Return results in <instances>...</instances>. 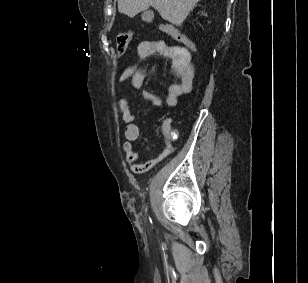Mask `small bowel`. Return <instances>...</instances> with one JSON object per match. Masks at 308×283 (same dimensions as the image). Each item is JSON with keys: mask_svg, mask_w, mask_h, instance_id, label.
<instances>
[{"mask_svg": "<svg viewBox=\"0 0 308 283\" xmlns=\"http://www.w3.org/2000/svg\"><path fill=\"white\" fill-rule=\"evenodd\" d=\"M137 54L139 57L161 55L169 58L175 74L180 78V82L171 85L167 94L162 99L151 92H142L143 97L152 107L160 108L163 105L172 107L177 103V99L179 97L191 91L195 78V70L191 64V54L186 49L167 44L163 41L145 40L139 43L137 47ZM144 78V70L130 67L121 73L119 83L125 84L129 81L133 88L140 89L143 85ZM118 108L121 113L122 120L126 124L124 130L125 142L123 144V150L126 160L130 164V169L133 172H147L158 162L173 153L174 138L168 134V127H166V145L164 146L162 152L155 158H152L146 162H141L139 153L135 147V142L139 139L141 131L139 126L134 122L135 118L128 100L121 98L118 101Z\"/></svg>", "mask_w": 308, "mask_h": 283, "instance_id": "small-bowel-1", "label": "small bowel"}]
</instances>
